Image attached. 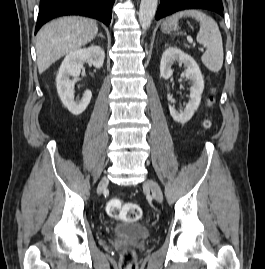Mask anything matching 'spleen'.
<instances>
[{"mask_svg":"<svg viewBox=\"0 0 265 269\" xmlns=\"http://www.w3.org/2000/svg\"><path fill=\"white\" fill-rule=\"evenodd\" d=\"M182 17H192L200 24L197 34V42L206 47L201 60L204 66L211 72L217 73L223 65V43L217 23L202 11L189 9L179 11L168 19V24L177 28L178 20Z\"/></svg>","mask_w":265,"mask_h":269,"instance_id":"obj_1","label":"spleen"}]
</instances>
